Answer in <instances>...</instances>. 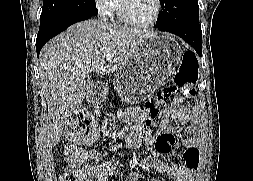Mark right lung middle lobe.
Listing matches in <instances>:
<instances>
[{"label": "right lung middle lobe", "mask_w": 253, "mask_h": 181, "mask_svg": "<svg viewBox=\"0 0 253 181\" xmlns=\"http://www.w3.org/2000/svg\"><path fill=\"white\" fill-rule=\"evenodd\" d=\"M71 12L97 14L95 0H43L40 23L59 18Z\"/></svg>", "instance_id": "1"}]
</instances>
